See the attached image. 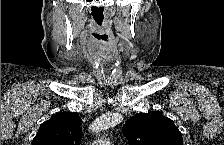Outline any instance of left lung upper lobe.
<instances>
[{"label": "left lung upper lobe", "mask_w": 224, "mask_h": 145, "mask_svg": "<svg viewBox=\"0 0 224 145\" xmlns=\"http://www.w3.org/2000/svg\"><path fill=\"white\" fill-rule=\"evenodd\" d=\"M122 130L129 145H183L181 132L160 112L136 114Z\"/></svg>", "instance_id": "obj_1"}]
</instances>
